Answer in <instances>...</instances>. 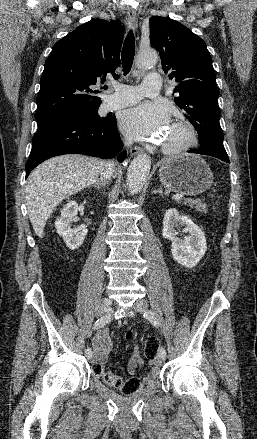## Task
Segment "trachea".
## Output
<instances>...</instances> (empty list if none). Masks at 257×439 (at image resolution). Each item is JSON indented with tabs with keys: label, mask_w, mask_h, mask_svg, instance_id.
I'll return each instance as SVG.
<instances>
[{
	"label": "trachea",
	"mask_w": 257,
	"mask_h": 439,
	"mask_svg": "<svg viewBox=\"0 0 257 439\" xmlns=\"http://www.w3.org/2000/svg\"><path fill=\"white\" fill-rule=\"evenodd\" d=\"M135 55V38L133 36V33L130 32L124 41L121 59H122V66H123V72L124 74H128L131 70L133 60ZM104 89H107V86H104Z\"/></svg>",
	"instance_id": "obj_1"
}]
</instances>
